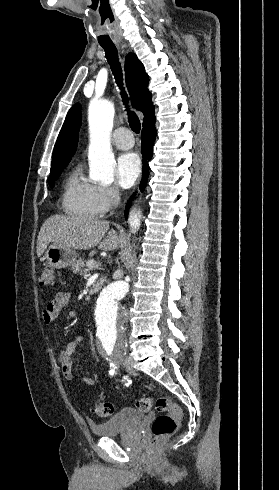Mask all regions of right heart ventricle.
Masks as SVG:
<instances>
[{
    "label": "right heart ventricle",
    "mask_w": 279,
    "mask_h": 490,
    "mask_svg": "<svg viewBox=\"0 0 279 490\" xmlns=\"http://www.w3.org/2000/svg\"><path fill=\"white\" fill-rule=\"evenodd\" d=\"M93 185L82 181L77 171L69 173L64 187L63 206L70 216L93 219L97 216L93 205Z\"/></svg>",
    "instance_id": "right-heart-ventricle-1"
}]
</instances>
